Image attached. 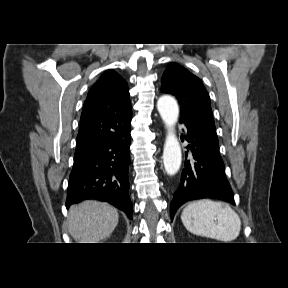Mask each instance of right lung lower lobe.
I'll return each instance as SVG.
<instances>
[{"label":"right lung lower lobe","mask_w":288,"mask_h":288,"mask_svg":"<svg viewBox=\"0 0 288 288\" xmlns=\"http://www.w3.org/2000/svg\"><path fill=\"white\" fill-rule=\"evenodd\" d=\"M130 126L107 141L74 156L66 207L85 199L109 202L132 219L128 167Z\"/></svg>","instance_id":"98d812e1"}]
</instances>
